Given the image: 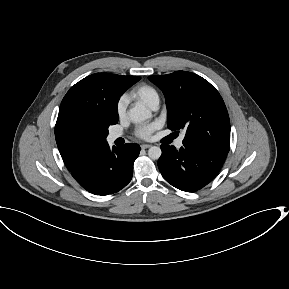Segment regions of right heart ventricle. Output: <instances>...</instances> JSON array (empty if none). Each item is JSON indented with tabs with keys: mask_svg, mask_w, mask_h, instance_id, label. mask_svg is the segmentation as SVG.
Returning <instances> with one entry per match:
<instances>
[{
	"mask_svg": "<svg viewBox=\"0 0 289 289\" xmlns=\"http://www.w3.org/2000/svg\"><path fill=\"white\" fill-rule=\"evenodd\" d=\"M131 97L143 102L149 107L155 102H159V95L156 89L150 85H140L136 87L131 92Z\"/></svg>",
	"mask_w": 289,
	"mask_h": 289,
	"instance_id": "e07e8e85",
	"label": "right heart ventricle"
}]
</instances>
